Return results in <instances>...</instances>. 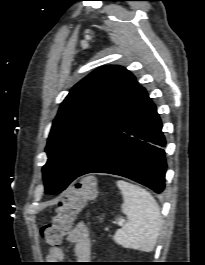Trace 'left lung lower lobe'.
Instances as JSON below:
<instances>
[{
  "instance_id": "1",
  "label": "left lung lower lobe",
  "mask_w": 205,
  "mask_h": 265,
  "mask_svg": "<svg viewBox=\"0 0 205 265\" xmlns=\"http://www.w3.org/2000/svg\"><path fill=\"white\" fill-rule=\"evenodd\" d=\"M165 144L156 107L145 93L132 114L90 158L77 177L94 172L109 173L161 193L167 167Z\"/></svg>"
}]
</instances>
